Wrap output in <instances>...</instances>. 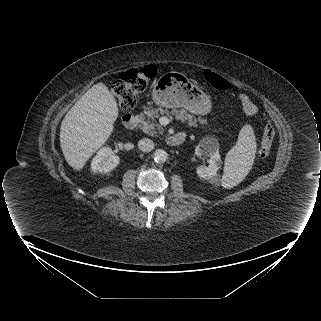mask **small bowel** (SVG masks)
<instances>
[{"mask_svg": "<svg viewBox=\"0 0 321 321\" xmlns=\"http://www.w3.org/2000/svg\"><path fill=\"white\" fill-rule=\"evenodd\" d=\"M237 101L241 104L243 107L244 111L251 116H254L257 114V107L256 105L252 102V100L249 98V96L245 93H238L236 95Z\"/></svg>", "mask_w": 321, "mask_h": 321, "instance_id": "1", "label": "small bowel"}]
</instances>
